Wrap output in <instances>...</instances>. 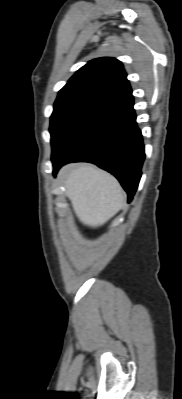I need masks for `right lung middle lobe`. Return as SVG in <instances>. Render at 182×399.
<instances>
[{
  "instance_id": "right-lung-middle-lobe-1",
  "label": "right lung middle lobe",
  "mask_w": 182,
  "mask_h": 399,
  "mask_svg": "<svg viewBox=\"0 0 182 399\" xmlns=\"http://www.w3.org/2000/svg\"><path fill=\"white\" fill-rule=\"evenodd\" d=\"M106 102L89 96L58 97L51 116L50 134L52 147L79 121L102 108Z\"/></svg>"
}]
</instances>
